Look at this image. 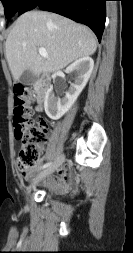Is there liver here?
<instances>
[{
    "mask_svg": "<svg viewBox=\"0 0 133 253\" xmlns=\"http://www.w3.org/2000/svg\"><path fill=\"white\" fill-rule=\"evenodd\" d=\"M45 48L47 57L38 53ZM93 32L55 13L29 11L14 23L5 43V55L15 81L24 71L34 75L52 73L73 61L95 53Z\"/></svg>",
    "mask_w": 133,
    "mask_h": 253,
    "instance_id": "obj_1",
    "label": "liver"
}]
</instances>
